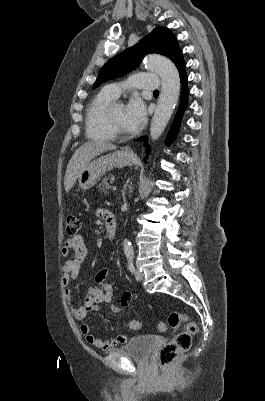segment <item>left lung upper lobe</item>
<instances>
[{"instance_id":"obj_1","label":"left lung upper lobe","mask_w":265,"mask_h":401,"mask_svg":"<svg viewBox=\"0 0 265 401\" xmlns=\"http://www.w3.org/2000/svg\"><path fill=\"white\" fill-rule=\"evenodd\" d=\"M149 53L164 55L176 66L183 60L173 33L165 27H157L139 43L107 61L101 68L93 88L109 79L123 76L137 67L143 56Z\"/></svg>"}]
</instances>
